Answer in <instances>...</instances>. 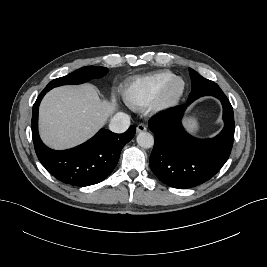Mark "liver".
Listing matches in <instances>:
<instances>
[{"label": "liver", "mask_w": 267, "mask_h": 267, "mask_svg": "<svg viewBox=\"0 0 267 267\" xmlns=\"http://www.w3.org/2000/svg\"><path fill=\"white\" fill-rule=\"evenodd\" d=\"M115 109L114 104L100 99L91 84L54 88L40 105L41 138L57 150L79 145L91 138Z\"/></svg>", "instance_id": "6515ba94"}]
</instances>
